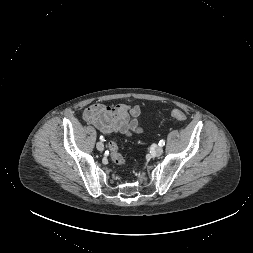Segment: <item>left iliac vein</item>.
<instances>
[{
  "label": "left iliac vein",
  "mask_w": 253,
  "mask_h": 253,
  "mask_svg": "<svg viewBox=\"0 0 253 253\" xmlns=\"http://www.w3.org/2000/svg\"><path fill=\"white\" fill-rule=\"evenodd\" d=\"M163 153V147L162 146H158L155 151H154V155L155 156H160Z\"/></svg>",
  "instance_id": "left-iliac-vein-1"
}]
</instances>
